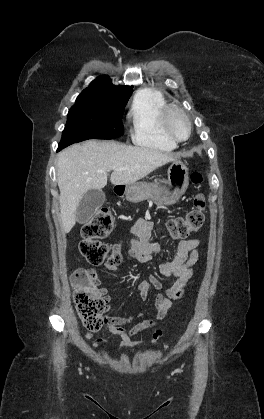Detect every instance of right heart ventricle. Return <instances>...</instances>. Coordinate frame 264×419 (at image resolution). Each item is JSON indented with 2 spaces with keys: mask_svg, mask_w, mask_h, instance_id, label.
I'll use <instances>...</instances> for the list:
<instances>
[{
  "mask_svg": "<svg viewBox=\"0 0 264 419\" xmlns=\"http://www.w3.org/2000/svg\"><path fill=\"white\" fill-rule=\"evenodd\" d=\"M167 101L163 94L152 88L136 92L128 112L130 136L141 147L169 152L176 143L169 140L161 129V114Z\"/></svg>",
  "mask_w": 264,
  "mask_h": 419,
  "instance_id": "obj_1",
  "label": "right heart ventricle"
}]
</instances>
